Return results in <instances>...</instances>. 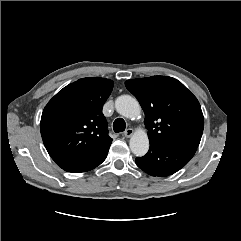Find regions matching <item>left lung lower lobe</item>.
Instances as JSON below:
<instances>
[{"label":"left lung lower lobe","instance_id":"1","mask_svg":"<svg viewBox=\"0 0 241 241\" xmlns=\"http://www.w3.org/2000/svg\"><path fill=\"white\" fill-rule=\"evenodd\" d=\"M197 147L150 140L148 153L136 158V164L152 176L166 177L185 166L193 157Z\"/></svg>","mask_w":241,"mask_h":241}]
</instances>
